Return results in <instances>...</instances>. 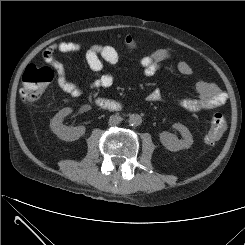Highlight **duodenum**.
Instances as JSON below:
<instances>
[{"label": "duodenum", "mask_w": 245, "mask_h": 245, "mask_svg": "<svg viewBox=\"0 0 245 245\" xmlns=\"http://www.w3.org/2000/svg\"><path fill=\"white\" fill-rule=\"evenodd\" d=\"M95 102L98 106L106 110L118 111L122 109L121 104L110 99L98 97L95 99Z\"/></svg>", "instance_id": "410a0bca"}]
</instances>
